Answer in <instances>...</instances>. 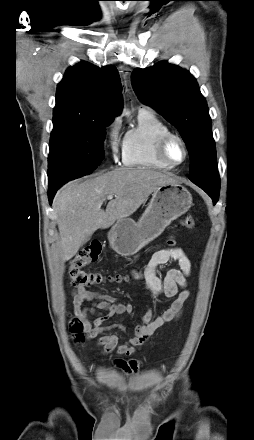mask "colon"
Masks as SVG:
<instances>
[{
  "mask_svg": "<svg viewBox=\"0 0 254 440\" xmlns=\"http://www.w3.org/2000/svg\"><path fill=\"white\" fill-rule=\"evenodd\" d=\"M182 226L186 229H192L195 226V219L191 214L183 217ZM174 240L169 242L170 246L174 245ZM102 253V245L99 242H93L83 247L72 259L69 277L74 286L91 287L102 282L103 276L99 272L86 271L85 267L97 261ZM69 331L74 342L81 343L84 340V323L80 318L73 317L70 319ZM126 362V361H125ZM133 370L136 368L134 364H128ZM121 368V367H120Z\"/></svg>",
  "mask_w": 254,
  "mask_h": 440,
  "instance_id": "colon-1",
  "label": "colon"
}]
</instances>
